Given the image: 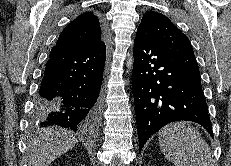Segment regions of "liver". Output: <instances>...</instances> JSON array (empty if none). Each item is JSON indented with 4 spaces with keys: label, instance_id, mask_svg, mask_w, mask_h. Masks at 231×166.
I'll use <instances>...</instances> for the list:
<instances>
[{
    "label": "liver",
    "instance_id": "obj_1",
    "mask_svg": "<svg viewBox=\"0 0 231 166\" xmlns=\"http://www.w3.org/2000/svg\"><path fill=\"white\" fill-rule=\"evenodd\" d=\"M76 143L77 139L69 130L58 127L41 129L27 139L30 163L32 166H48Z\"/></svg>",
    "mask_w": 231,
    "mask_h": 166
}]
</instances>
